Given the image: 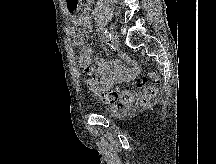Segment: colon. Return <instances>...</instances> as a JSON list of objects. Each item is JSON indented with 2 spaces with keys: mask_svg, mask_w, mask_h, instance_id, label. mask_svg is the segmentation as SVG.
Listing matches in <instances>:
<instances>
[{
  "mask_svg": "<svg viewBox=\"0 0 216 164\" xmlns=\"http://www.w3.org/2000/svg\"><path fill=\"white\" fill-rule=\"evenodd\" d=\"M148 79L138 80L133 89L124 90H99L94 78L87 76L86 84L90 91L97 94L101 100L110 105H122L130 103L134 97H137L143 106L149 105L157 95L156 83L158 76L154 73Z\"/></svg>",
  "mask_w": 216,
  "mask_h": 164,
  "instance_id": "5ec220e1",
  "label": "colon"
}]
</instances>
